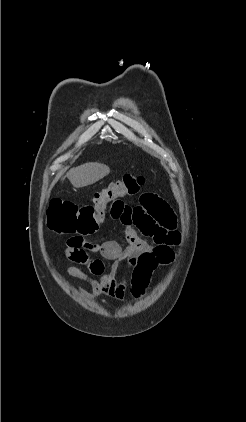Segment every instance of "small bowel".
<instances>
[{
  "mask_svg": "<svg viewBox=\"0 0 246 422\" xmlns=\"http://www.w3.org/2000/svg\"><path fill=\"white\" fill-rule=\"evenodd\" d=\"M113 220L120 221L124 226L126 245L122 246L117 241L109 240L95 243L86 240L83 236L71 237L65 249L66 257L77 265L66 268V274L78 279L91 287L92 292L82 290L90 299L107 296L123 301L131 277L126 275L118 277V264L125 262L132 271L133 262L143 252L152 251L161 247L172 250L171 247L180 243L181 237L177 230L176 215L160 196L146 193L141 197V203L134 208L122 205L110 210ZM135 227L154 244L142 239ZM91 254H96L94 258ZM105 261L112 264L107 266Z\"/></svg>",
  "mask_w": 246,
  "mask_h": 422,
  "instance_id": "obj_1",
  "label": "small bowel"
}]
</instances>
